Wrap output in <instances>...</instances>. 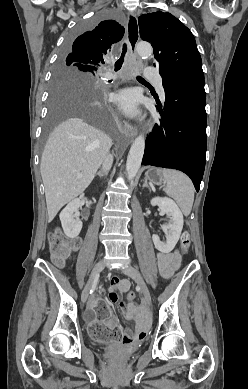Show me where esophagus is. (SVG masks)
Returning <instances> with one entry per match:
<instances>
[{"label":"esophagus","mask_w":248,"mask_h":389,"mask_svg":"<svg viewBox=\"0 0 248 389\" xmlns=\"http://www.w3.org/2000/svg\"><path fill=\"white\" fill-rule=\"evenodd\" d=\"M126 36L128 50L131 56V61L134 67H140L141 59L137 55L136 46L140 38L138 21L134 14L128 13V20L126 24ZM124 132L125 135L130 139H134L137 134V129L129 124L128 122L124 123Z\"/></svg>","instance_id":"1"}]
</instances>
